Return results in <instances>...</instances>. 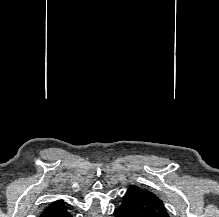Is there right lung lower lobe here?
Returning a JSON list of instances; mask_svg holds the SVG:
<instances>
[{"label": "right lung lower lobe", "instance_id": "1", "mask_svg": "<svg viewBox=\"0 0 219 217\" xmlns=\"http://www.w3.org/2000/svg\"><path fill=\"white\" fill-rule=\"evenodd\" d=\"M42 217H73V216L66 208L55 213L43 215Z\"/></svg>", "mask_w": 219, "mask_h": 217}]
</instances>
